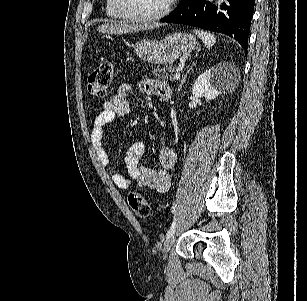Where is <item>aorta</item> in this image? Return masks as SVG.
Here are the masks:
<instances>
[{"label": "aorta", "mask_w": 307, "mask_h": 301, "mask_svg": "<svg viewBox=\"0 0 307 301\" xmlns=\"http://www.w3.org/2000/svg\"><path fill=\"white\" fill-rule=\"evenodd\" d=\"M217 4H221V2H223V0H216Z\"/></svg>", "instance_id": "1"}]
</instances>
